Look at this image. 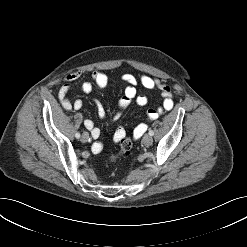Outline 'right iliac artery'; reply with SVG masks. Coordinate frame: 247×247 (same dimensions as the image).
Instances as JSON below:
<instances>
[{
  "mask_svg": "<svg viewBox=\"0 0 247 247\" xmlns=\"http://www.w3.org/2000/svg\"><path fill=\"white\" fill-rule=\"evenodd\" d=\"M75 137H76L77 139H79V138H80V133H76V134H75Z\"/></svg>",
  "mask_w": 247,
  "mask_h": 247,
  "instance_id": "1",
  "label": "right iliac artery"
}]
</instances>
